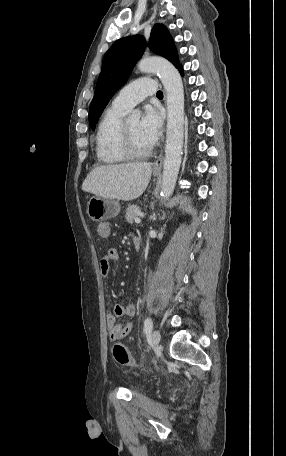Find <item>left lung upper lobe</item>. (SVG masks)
Instances as JSON below:
<instances>
[{
	"label": "left lung upper lobe",
	"mask_w": 286,
	"mask_h": 456,
	"mask_svg": "<svg viewBox=\"0 0 286 456\" xmlns=\"http://www.w3.org/2000/svg\"><path fill=\"white\" fill-rule=\"evenodd\" d=\"M145 46V39L136 35L117 40L106 52L89 109V124L92 129L114 93L127 81ZM149 48L168 59L175 67L180 65L173 39L163 24H155L152 28Z\"/></svg>",
	"instance_id": "left-lung-upper-lobe-1"
}]
</instances>
